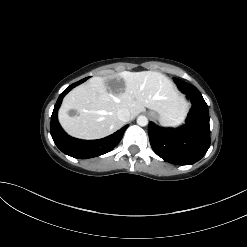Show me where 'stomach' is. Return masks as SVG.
Listing matches in <instances>:
<instances>
[{"label":"stomach","instance_id":"1","mask_svg":"<svg viewBox=\"0 0 247 247\" xmlns=\"http://www.w3.org/2000/svg\"><path fill=\"white\" fill-rule=\"evenodd\" d=\"M151 115H152L153 117L158 118V119L160 120V117L156 116L154 112H151Z\"/></svg>","mask_w":247,"mask_h":247}]
</instances>
